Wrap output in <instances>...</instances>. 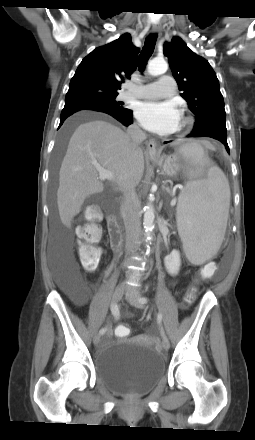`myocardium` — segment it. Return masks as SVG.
<instances>
[{"mask_svg":"<svg viewBox=\"0 0 255 440\" xmlns=\"http://www.w3.org/2000/svg\"><path fill=\"white\" fill-rule=\"evenodd\" d=\"M191 120L186 117V116H182L181 121H180V125L178 128V132L183 133L186 132L190 127H191Z\"/></svg>","mask_w":255,"mask_h":440,"instance_id":"f54148a6","label":"myocardium"}]
</instances>
